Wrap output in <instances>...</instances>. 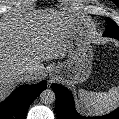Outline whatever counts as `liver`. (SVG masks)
<instances>
[{"label":"liver","instance_id":"obj_1","mask_svg":"<svg viewBox=\"0 0 119 119\" xmlns=\"http://www.w3.org/2000/svg\"><path fill=\"white\" fill-rule=\"evenodd\" d=\"M64 16L57 14L60 26L49 25L50 33L45 35L42 31L48 23L29 18L0 20V101L23 82L39 81L45 72L42 62L65 57L76 24ZM27 68L35 72L23 81L21 72Z\"/></svg>","mask_w":119,"mask_h":119}]
</instances>
